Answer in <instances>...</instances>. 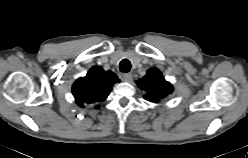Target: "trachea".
Listing matches in <instances>:
<instances>
[{
	"label": "trachea",
	"instance_id": "obj_1",
	"mask_svg": "<svg viewBox=\"0 0 248 158\" xmlns=\"http://www.w3.org/2000/svg\"><path fill=\"white\" fill-rule=\"evenodd\" d=\"M130 69H131L130 61L128 59H123L120 62V70L124 73H127L130 71Z\"/></svg>",
	"mask_w": 248,
	"mask_h": 158
}]
</instances>
